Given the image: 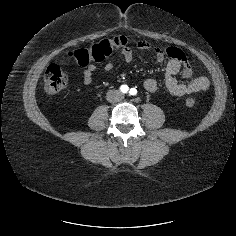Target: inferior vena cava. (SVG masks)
I'll return each mask as SVG.
<instances>
[{"instance_id": "1", "label": "inferior vena cava", "mask_w": 236, "mask_h": 236, "mask_svg": "<svg viewBox=\"0 0 236 236\" xmlns=\"http://www.w3.org/2000/svg\"><path fill=\"white\" fill-rule=\"evenodd\" d=\"M122 98L123 94L118 90H112L107 95V100L110 102H119Z\"/></svg>"}]
</instances>
